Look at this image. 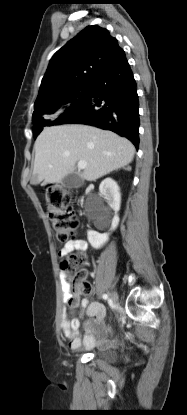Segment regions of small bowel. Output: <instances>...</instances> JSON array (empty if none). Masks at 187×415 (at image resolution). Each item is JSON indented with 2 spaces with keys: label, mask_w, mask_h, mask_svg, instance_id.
Returning a JSON list of instances; mask_svg holds the SVG:
<instances>
[{
  "label": "small bowel",
  "mask_w": 187,
  "mask_h": 415,
  "mask_svg": "<svg viewBox=\"0 0 187 415\" xmlns=\"http://www.w3.org/2000/svg\"><path fill=\"white\" fill-rule=\"evenodd\" d=\"M86 249L87 242L85 240H71L61 249L60 256L65 257L74 250L85 251ZM65 277V273H61L64 303L69 309L80 307L78 316L70 319L64 315L61 322L62 331L69 341L70 348L73 350L81 347L92 349L96 344L100 346L113 345L114 342L107 340L105 336V330H108V327L104 321L106 314L104 306L95 300L80 299L78 294H73ZM85 315L90 319L85 323L84 335L82 336L80 328Z\"/></svg>",
  "instance_id": "obj_1"
}]
</instances>
